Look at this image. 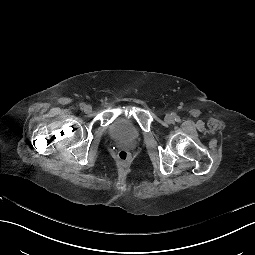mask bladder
Here are the masks:
<instances>
[{"label":"bladder","mask_w":255,"mask_h":255,"mask_svg":"<svg viewBox=\"0 0 255 255\" xmlns=\"http://www.w3.org/2000/svg\"><path fill=\"white\" fill-rule=\"evenodd\" d=\"M111 129L116 137L128 138L132 132L131 125L128 121L122 120L114 123Z\"/></svg>","instance_id":"bladder-1"}]
</instances>
